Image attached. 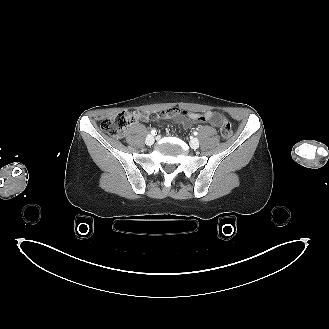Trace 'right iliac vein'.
I'll return each instance as SVG.
<instances>
[{"label":"right iliac vein","mask_w":329,"mask_h":329,"mask_svg":"<svg viewBox=\"0 0 329 329\" xmlns=\"http://www.w3.org/2000/svg\"><path fill=\"white\" fill-rule=\"evenodd\" d=\"M155 141V138L152 135H148L145 139V143L147 145H152Z\"/></svg>","instance_id":"63e3f726"}]
</instances>
